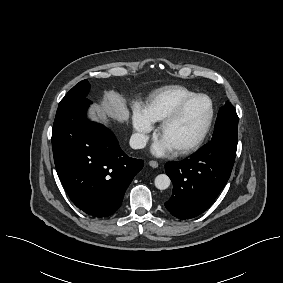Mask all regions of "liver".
<instances>
[{
  "mask_svg": "<svg viewBox=\"0 0 283 283\" xmlns=\"http://www.w3.org/2000/svg\"><path fill=\"white\" fill-rule=\"evenodd\" d=\"M92 120L108 124L107 116L113 117L118 122H125L129 119V110L122 98L114 91H107L104 94L101 105L93 106L89 111Z\"/></svg>",
  "mask_w": 283,
  "mask_h": 283,
  "instance_id": "6515ba94",
  "label": "liver"
}]
</instances>
